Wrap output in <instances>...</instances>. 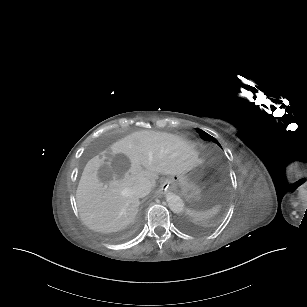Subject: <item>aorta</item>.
Instances as JSON below:
<instances>
[{
    "label": "aorta",
    "mask_w": 307,
    "mask_h": 307,
    "mask_svg": "<svg viewBox=\"0 0 307 307\" xmlns=\"http://www.w3.org/2000/svg\"><path fill=\"white\" fill-rule=\"evenodd\" d=\"M167 202H168L170 209L174 213L178 214L184 211V202L179 196L169 194L167 196Z\"/></svg>",
    "instance_id": "obj_1"
}]
</instances>
